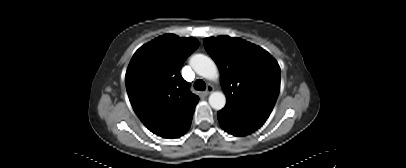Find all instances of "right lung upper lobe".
<instances>
[{"mask_svg":"<svg viewBox=\"0 0 406 168\" xmlns=\"http://www.w3.org/2000/svg\"><path fill=\"white\" fill-rule=\"evenodd\" d=\"M198 46L193 37L165 34L139 48L130 61L125 76L129 100L143 124L158 136L170 138L199 101L179 73Z\"/></svg>","mask_w":406,"mask_h":168,"instance_id":"right-lung-upper-lobe-1","label":"right lung upper lobe"}]
</instances>
